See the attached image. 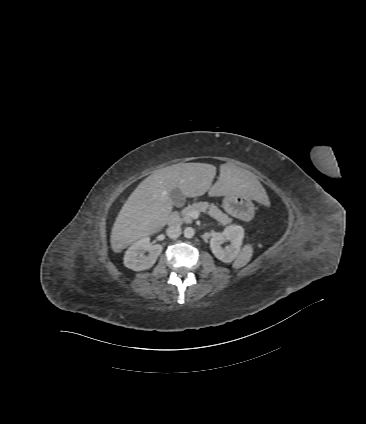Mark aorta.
Here are the masks:
<instances>
[{
	"label": "aorta",
	"instance_id": "762f6f07",
	"mask_svg": "<svg viewBox=\"0 0 366 424\" xmlns=\"http://www.w3.org/2000/svg\"><path fill=\"white\" fill-rule=\"evenodd\" d=\"M195 234V231L192 227H186L184 229V237L185 238H192Z\"/></svg>",
	"mask_w": 366,
	"mask_h": 424
}]
</instances>
